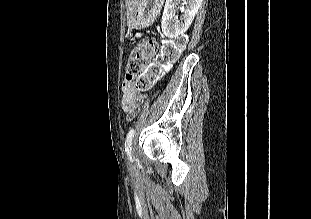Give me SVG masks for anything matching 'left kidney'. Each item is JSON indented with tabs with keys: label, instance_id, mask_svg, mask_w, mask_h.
Listing matches in <instances>:
<instances>
[{
	"label": "left kidney",
	"instance_id": "obj_1",
	"mask_svg": "<svg viewBox=\"0 0 311 219\" xmlns=\"http://www.w3.org/2000/svg\"><path fill=\"white\" fill-rule=\"evenodd\" d=\"M203 0H166L162 15V32L168 38L184 34L198 13ZM180 5V6H179ZM178 6V7H177ZM183 14L178 20L176 13Z\"/></svg>",
	"mask_w": 311,
	"mask_h": 219
}]
</instances>
